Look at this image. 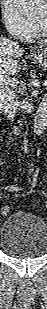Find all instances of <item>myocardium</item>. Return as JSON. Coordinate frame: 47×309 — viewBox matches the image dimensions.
<instances>
[{
    "mask_svg": "<svg viewBox=\"0 0 47 309\" xmlns=\"http://www.w3.org/2000/svg\"><path fill=\"white\" fill-rule=\"evenodd\" d=\"M34 30H35L37 36H39V37H41L42 34L44 33V30H41L40 27L37 26L36 24H35V26H34Z\"/></svg>",
    "mask_w": 47,
    "mask_h": 309,
    "instance_id": "obj_1",
    "label": "myocardium"
}]
</instances>
